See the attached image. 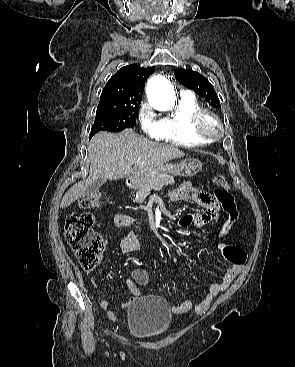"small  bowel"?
Instances as JSON below:
<instances>
[{
  "label": "small bowel",
  "mask_w": 295,
  "mask_h": 367,
  "mask_svg": "<svg viewBox=\"0 0 295 367\" xmlns=\"http://www.w3.org/2000/svg\"><path fill=\"white\" fill-rule=\"evenodd\" d=\"M173 200L192 201L204 208L202 214H195L190 218V222L198 228H203L210 222L218 220L220 217V207L215 196L206 193L192 185L191 182H185L180 185L172 193ZM113 224L118 228H128L134 223V219L127 213H116L112 218ZM141 238L137 230H130L124 232L120 236V247L123 252H134L141 248ZM242 265H231L226 269L224 276L220 282L212 284L204 296V298L195 306L197 314H203L211 305L213 299L224 291L233 281L237 274L241 272ZM149 282V277L145 269L137 268L132 272L131 277L125 279V284L132 294V297L123 303V307L130 306L136 298L140 296L138 285L146 286ZM94 286H98V282L93 280ZM100 307L106 311L110 319H116L117 313L110 309V302L108 299L100 301ZM193 304L190 300H186L178 306L171 307V310L176 313H185L192 309Z\"/></svg>",
  "instance_id": "obj_1"
}]
</instances>
